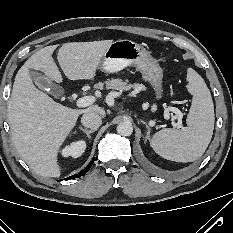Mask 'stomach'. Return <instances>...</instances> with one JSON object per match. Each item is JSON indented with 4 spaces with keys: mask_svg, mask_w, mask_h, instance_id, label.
<instances>
[{
    "mask_svg": "<svg viewBox=\"0 0 233 233\" xmlns=\"http://www.w3.org/2000/svg\"><path fill=\"white\" fill-rule=\"evenodd\" d=\"M128 66L141 72L152 86L157 100L162 98V69L158 61L140 44L123 39L114 41L104 52L99 68L106 73H115Z\"/></svg>",
    "mask_w": 233,
    "mask_h": 233,
    "instance_id": "0dacf381",
    "label": "stomach"
}]
</instances>
